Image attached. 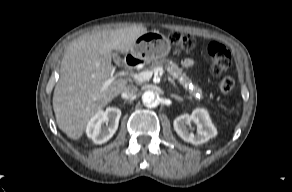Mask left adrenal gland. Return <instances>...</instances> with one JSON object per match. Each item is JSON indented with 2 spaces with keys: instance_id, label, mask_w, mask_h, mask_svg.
Returning a JSON list of instances; mask_svg holds the SVG:
<instances>
[{
  "instance_id": "obj_1",
  "label": "left adrenal gland",
  "mask_w": 292,
  "mask_h": 192,
  "mask_svg": "<svg viewBox=\"0 0 292 192\" xmlns=\"http://www.w3.org/2000/svg\"><path fill=\"white\" fill-rule=\"evenodd\" d=\"M170 96H171V98H174L177 101H183V99L180 96H178V95L171 94Z\"/></svg>"
}]
</instances>
